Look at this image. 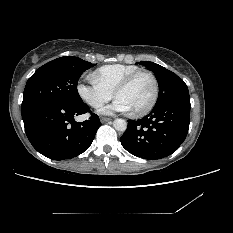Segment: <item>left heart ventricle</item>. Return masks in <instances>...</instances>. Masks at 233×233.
Instances as JSON below:
<instances>
[{"mask_svg": "<svg viewBox=\"0 0 233 233\" xmlns=\"http://www.w3.org/2000/svg\"><path fill=\"white\" fill-rule=\"evenodd\" d=\"M153 94V84L147 75H140L130 86L120 91L116 97L123 99L132 111L148 105Z\"/></svg>", "mask_w": 233, "mask_h": 233, "instance_id": "b2bd125f", "label": "left heart ventricle"}]
</instances>
